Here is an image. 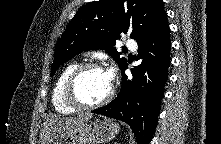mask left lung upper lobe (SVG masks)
Returning a JSON list of instances; mask_svg holds the SVG:
<instances>
[{
  "mask_svg": "<svg viewBox=\"0 0 221 144\" xmlns=\"http://www.w3.org/2000/svg\"><path fill=\"white\" fill-rule=\"evenodd\" d=\"M165 14L163 0H99L84 5L57 44L51 75L64 62L90 49H106L122 69L127 60L114 48L120 33L129 31L139 42Z\"/></svg>",
  "mask_w": 221,
  "mask_h": 144,
  "instance_id": "left-lung-upper-lobe-1",
  "label": "left lung upper lobe"
}]
</instances>
